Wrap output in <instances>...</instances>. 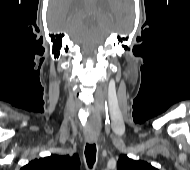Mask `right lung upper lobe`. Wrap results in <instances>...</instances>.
<instances>
[{
	"label": "right lung upper lobe",
	"instance_id": "obj_1",
	"mask_svg": "<svg viewBox=\"0 0 190 170\" xmlns=\"http://www.w3.org/2000/svg\"><path fill=\"white\" fill-rule=\"evenodd\" d=\"M80 160L77 154L56 155L35 159L21 168V170H79Z\"/></svg>",
	"mask_w": 190,
	"mask_h": 170
}]
</instances>
